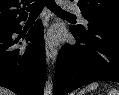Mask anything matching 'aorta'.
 I'll list each match as a JSON object with an SVG mask.
<instances>
[{
    "label": "aorta",
    "instance_id": "obj_1",
    "mask_svg": "<svg viewBox=\"0 0 119 95\" xmlns=\"http://www.w3.org/2000/svg\"><path fill=\"white\" fill-rule=\"evenodd\" d=\"M44 95H53V82L51 76L48 77L45 87H44Z\"/></svg>",
    "mask_w": 119,
    "mask_h": 95
}]
</instances>
